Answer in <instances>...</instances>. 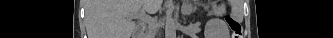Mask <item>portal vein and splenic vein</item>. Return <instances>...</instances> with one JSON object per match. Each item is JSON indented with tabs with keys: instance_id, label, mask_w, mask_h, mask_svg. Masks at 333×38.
I'll use <instances>...</instances> for the list:
<instances>
[{
	"instance_id": "portal-vein-and-splenic-vein-1",
	"label": "portal vein and splenic vein",
	"mask_w": 333,
	"mask_h": 38,
	"mask_svg": "<svg viewBox=\"0 0 333 38\" xmlns=\"http://www.w3.org/2000/svg\"><path fill=\"white\" fill-rule=\"evenodd\" d=\"M130 17L139 18L140 20L147 22V23L152 21L151 20L152 18L149 15H147L144 10H140L138 13L132 14Z\"/></svg>"
}]
</instances>
